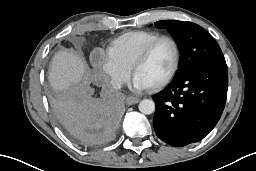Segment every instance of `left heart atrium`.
I'll use <instances>...</instances> for the list:
<instances>
[{"label": "left heart atrium", "instance_id": "left-heart-atrium-1", "mask_svg": "<svg viewBox=\"0 0 256 171\" xmlns=\"http://www.w3.org/2000/svg\"><path fill=\"white\" fill-rule=\"evenodd\" d=\"M133 85H134V87L136 88V89H138V90H142V89H146V88H148L149 86L146 84V83H144L143 81H141L138 77H134V79H133Z\"/></svg>", "mask_w": 256, "mask_h": 171}]
</instances>
